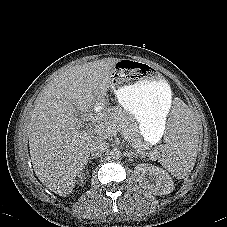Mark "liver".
Instances as JSON below:
<instances>
[{
	"mask_svg": "<svg viewBox=\"0 0 227 227\" xmlns=\"http://www.w3.org/2000/svg\"><path fill=\"white\" fill-rule=\"evenodd\" d=\"M120 61L104 58L75 65L56 76L39 94L29 123V147L38 179L60 196L72 193L76 177L89 159L97 138L80 131L79 111L88 116L105 102L111 69Z\"/></svg>",
	"mask_w": 227,
	"mask_h": 227,
	"instance_id": "liver-1",
	"label": "liver"
}]
</instances>
